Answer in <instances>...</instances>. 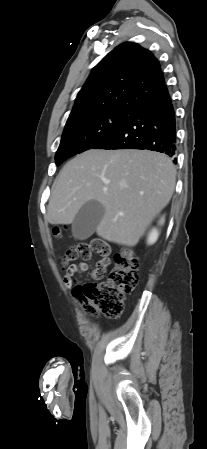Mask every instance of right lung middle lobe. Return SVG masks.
<instances>
[{"label":"right lung middle lobe","mask_w":207,"mask_h":449,"mask_svg":"<svg viewBox=\"0 0 207 449\" xmlns=\"http://www.w3.org/2000/svg\"><path fill=\"white\" fill-rule=\"evenodd\" d=\"M135 110L109 109L68 119L55 155L59 165L67 158L93 148L129 119Z\"/></svg>","instance_id":"right-lung-middle-lobe-1"}]
</instances>
